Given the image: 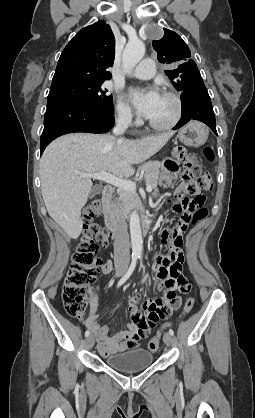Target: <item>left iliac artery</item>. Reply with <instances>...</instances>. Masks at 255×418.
Wrapping results in <instances>:
<instances>
[{"mask_svg":"<svg viewBox=\"0 0 255 418\" xmlns=\"http://www.w3.org/2000/svg\"><path fill=\"white\" fill-rule=\"evenodd\" d=\"M140 258V257H139ZM144 277H145V279H147V276L146 275H144ZM169 334L171 335V336H173L174 335V331L172 330V329H169Z\"/></svg>","mask_w":255,"mask_h":418,"instance_id":"1","label":"left iliac artery"}]
</instances>
